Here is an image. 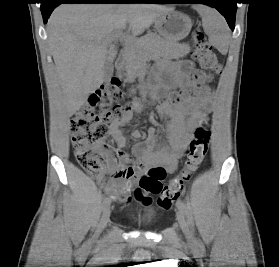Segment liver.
<instances>
[{
    "label": "liver",
    "instance_id": "obj_1",
    "mask_svg": "<svg viewBox=\"0 0 279 267\" xmlns=\"http://www.w3.org/2000/svg\"><path fill=\"white\" fill-rule=\"evenodd\" d=\"M174 8L151 4H63L51 14L48 43L72 116L104 82L103 68L116 56L107 39L127 26L142 34Z\"/></svg>",
    "mask_w": 279,
    "mask_h": 267
}]
</instances>
